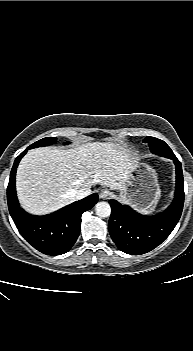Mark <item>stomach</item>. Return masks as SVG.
<instances>
[{
    "instance_id": "1",
    "label": "stomach",
    "mask_w": 193,
    "mask_h": 351,
    "mask_svg": "<svg viewBox=\"0 0 193 351\" xmlns=\"http://www.w3.org/2000/svg\"><path fill=\"white\" fill-rule=\"evenodd\" d=\"M160 194L156 171L146 163H137L132 167L126 189L120 192L119 199L142 213H151Z\"/></svg>"
}]
</instances>
